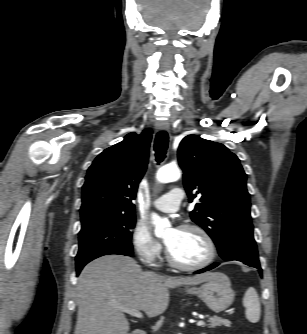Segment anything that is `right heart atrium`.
<instances>
[{
  "label": "right heart atrium",
  "mask_w": 307,
  "mask_h": 334,
  "mask_svg": "<svg viewBox=\"0 0 307 334\" xmlns=\"http://www.w3.org/2000/svg\"><path fill=\"white\" fill-rule=\"evenodd\" d=\"M131 245L134 253L145 265L153 264L161 255L163 247L151 234L148 226L138 222L131 234Z\"/></svg>",
  "instance_id": "right-heart-atrium-1"
}]
</instances>
